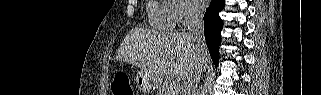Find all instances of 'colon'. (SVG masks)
<instances>
[{"instance_id": "1", "label": "colon", "mask_w": 321, "mask_h": 95, "mask_svg": "<svg viewBox=\"0 0 321 95\" xmlns=\"http://www.w3.org/2000/svg\"><path fill=\"white\" fill-rule=\"evenodd\" d=\"M111 88L115 95H133L130 80L126 75H116Z\"/></svg>"}]
</instances>
